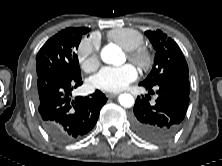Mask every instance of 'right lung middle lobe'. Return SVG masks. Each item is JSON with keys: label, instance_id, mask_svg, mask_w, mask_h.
Wrapping results in <instances>:
<instances>
[{"label": "right lung middle lobe", "instance_id": "dd1d6c3e", "mask_svg": "<svg viewBox=\"0 0 222 166\" xmlns=\"http://www.w3.org/2000/svg\"><path fill=\"white\" fill-rule=\"evenodd\" d=\"M87 32L89 30L84 27H70L51 37L37 54V76L51 70H63L73 76H81L75 51L80 44L82 35Z\"/></svg>", "mask_w": 222, "mask_h": 166}]
</instances>
